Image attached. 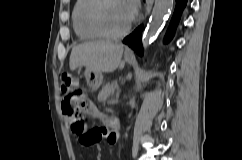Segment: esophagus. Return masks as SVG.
<instances>
[{"label": "esophagus", "mask_w": 242, "mask_h": 160, "mask_svg": "<svg viewBox=\"0 0 242 160\" xmlns=\"http://www.w3.org/2000/svg\"><path fill=\"white\" fill-rule=\"evenodd\" d=\"M127 53H130L131 51L129 50V49H127V51H126Z\"/></svg>", "instance_id": "obj_1"}]
</instances>
